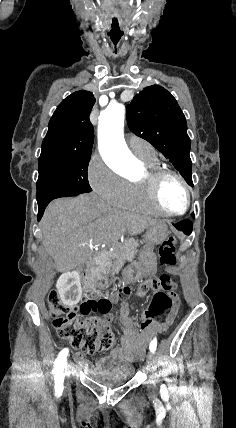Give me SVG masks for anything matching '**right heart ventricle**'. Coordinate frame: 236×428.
Listing matches in <instances>:
<instances>
[{"instance_id":"obj_1","label":"right heart ventricle","mask_w":236,"mask_h":428,"mask_svg":"<svg viewBox=\"0 0 236 428\" xmlns=\"http://www.w3.org/2000/svg\"><path fill=\"white\" fill-rule=\"evenodd\" d=\"M139 159L146 164L149 169V172H155L160 169L159 163L155 157ZM128 186V193L122 208L127 210L139 211L157 217H165V215L159 212L151 203L143 179L129 183Z\"/></svg>"}]
</instances>
